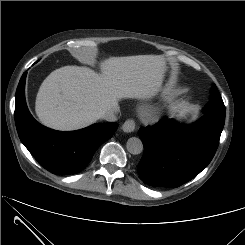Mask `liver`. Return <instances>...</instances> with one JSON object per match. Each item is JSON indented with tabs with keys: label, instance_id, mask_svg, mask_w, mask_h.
<instances>
[{
	"label": "liver",
	"instance_id": "obj_1",
	"mask_svg": "<svg viewBox=\"0 0 245 245\" xmlns=\"http://www.w3.org/2000/svg\"><path fill=\"white\" fill-rule=\"evenodd\" d=\"M90 68L64 66L51 72L36 96L35 112L50 128L69 131L95 123L123 98L147 99L160 90L166 65L161 55L110 57Z\"/></svg>",
	"mask_w": 245,
	"mask_h": 245
}]
</instances>
